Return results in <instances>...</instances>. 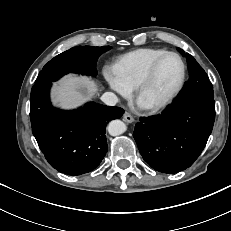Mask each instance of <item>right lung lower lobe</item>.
<instances>
[{"mask_svg": "<svg viewBox=\"0 0 231 231\" xmlns=\"http://www.w3.org/2000/svg\"><path fill=\"white\" fill-rule=\"evenodd\" d=\"M52 83L35 84L30 96L32 132L49 164L61 173L81 175L95 169L107 152L106 124L124 110L94 102L72 111L50 103Z\"/></svg>", "mask_w": 231, "mask_h": 231, "instance_id": "98d812e1", "label": "right lung lower lobe"}]
</instances>
